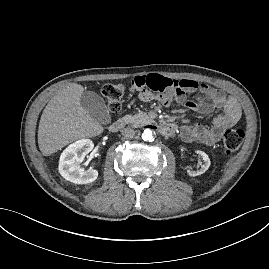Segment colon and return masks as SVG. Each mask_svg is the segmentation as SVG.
<instances>
[{"instance_id":"5ec220e1","label":"colon","mask_w":269,"mask_h":269,"mask_svg":"<svg viewBox=\"0 0 269 269\" xmlns=\"http://www.w3.org/2000/svg\"><path fill=\"white\" fill-rule=\"evenodd\" d=\"M109 110L117 113L121 109L122 99L125 94V87L122 84L108 83L102 88ZM244 139V131L241 129H228L223 136V145L228 155L237 151Z\"/></svg>"}]
</instances>
